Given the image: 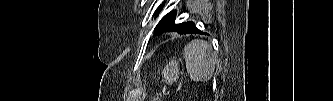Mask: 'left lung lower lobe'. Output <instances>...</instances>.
<instances>
[{
	"instance_id": "0a47b994",
	"label": "left lung lower lobe",
	"mask_w": 333,
	"mask_h": 101,
	"mask_svg": "<svg viewBox=\"0 0 333 101\" xmlns=\"http://www.w3.org/2000/svg\"><path fill=\"white\" fill-rule=\"evenodd\" d=\"M173 31L179 33V34H195V33H202L200 30H198L195 27V24L193 22H186L179 24V26L174 29Z\"/></svg>"
}]
</instances>
